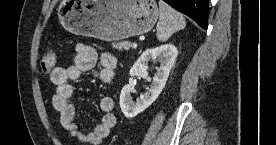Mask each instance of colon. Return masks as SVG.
<instances>
[{
    "instance_id": "1",
    "label": "colon",
    "mask_w": 276,
    "mask_h": 145,
    "mask_svg": "<svg viewBox=\"0 0 276 145\" xmlns=\"http://www.w3.org/2000/svg\"><path fill=\"white\" fill-rule=\"evenodd\" d=\"M56 63V53L53 49L46 50L41 56V70L44 73L50 72Z\"/></svg>"
}]
</instances>
